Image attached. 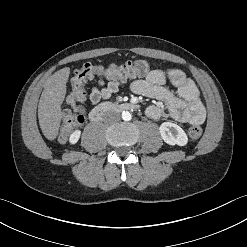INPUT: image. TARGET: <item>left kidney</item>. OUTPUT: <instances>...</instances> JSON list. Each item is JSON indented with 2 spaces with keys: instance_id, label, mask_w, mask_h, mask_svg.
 Instances as JSON below:
<instances>
[{
  "instance_id": "1",
  "label": "left kidney",
  "mask_w": 247,
  "mask_h": 247,
  "mask_svg": "<svg viewBox=\"0 0 247 247\" xmlns=\"http://www.w3.org/2000/svg\"><path fill=\"white\" fill-rule=\"evenodd\" d=\"M159 130L162 139L169 145L185 146L188 142L185 131L177 124L164 122L160 125Z\"/></svg>"
}]
</instances>
